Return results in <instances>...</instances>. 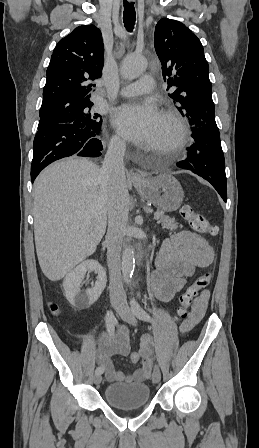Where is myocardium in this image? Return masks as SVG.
Segmentation results:
<instances>
[{"label": "myocardium", "mask_w": 259, "mask_h": 448, "mask_svg": "<svg viewBox=\"0 0 259 448\" xmlns=\"http://www.w3.org/2000/svg\"><path fill=\"white\" fill-rule=\"evenodd\" d=\"M161 118L171 123L174 129V136L172 140L162 150L172 154H177L182 148L186 137V125L184 119L181 114L171 106L165 107L161 113Z\"/></svg>", "instance_id": "1"}]
</instances>
